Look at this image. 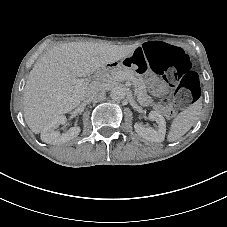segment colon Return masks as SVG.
<instances>
[{
  "label": "colon",
  "instance_id": "1",
  "mask_svg": "<svg viewBox=\"0 0 227 227\" xmlns=\"http://www.w3.org/2000/svg\"><path fill=\"white\" fill-rule=\"evenodd\" d=\"M148 67L138 55L133 62L140 72L152 71L159 74L174 88L171 99H161L159 107L166 116H173L178 107L196 101L200 96L199 78L192 70L189 56L179 47L162 42H149L143 45Z\"/></svg>",
  "mask_w": 227,
  "mask_h": 227
}]
</instances>
